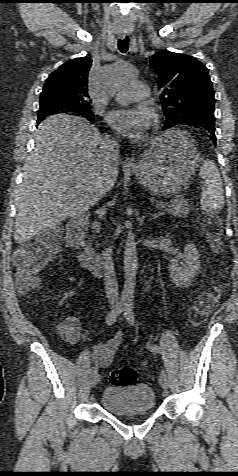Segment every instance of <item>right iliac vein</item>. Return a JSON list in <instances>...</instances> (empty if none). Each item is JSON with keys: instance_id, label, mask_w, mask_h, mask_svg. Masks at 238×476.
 Segmentation results:
<instances>
[{"instance_id": "63e3f726", "label": "right iliac vein", "mask_w": 238, "mask_h": 476, "mask_svg": "<svg viewBox=\"0 0 238 476\" xmlns=\"http://www.w3.org/2000/svg\"><path fill=\"white\" fill-rule=\"evenodd\" d=\"M99 379H100L99 374L98 373H93L90 377L91 386L95 387L98 384Z\"/></svg>"}]
</instances>
